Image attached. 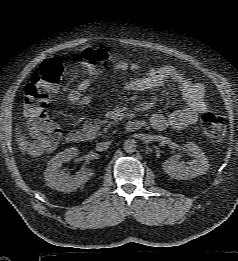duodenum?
<instances>
[{"instance_id":"1","label":"duodenum","mask_w":238,"mask_h":261,"mask_svg":"<svg viewBox=\"0 0 238 261\" xmlns=\"http://www.w3.org/2000/svg\"><path fill=\"white\" fill-rule=\"evenodd\" d=\"M144 125L145 123L142 120L131 119L126 123V129L127 131L134 132L144 127ZM66 140L71 144H81L85 142L86 135L82 131L72 130L67 134Z\"/></svg>"}]
</instances>
